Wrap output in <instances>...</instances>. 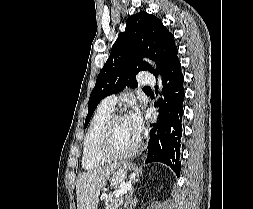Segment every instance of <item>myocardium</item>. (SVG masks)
<instances>
[{
    "mask_svg": "<svg viewBox=\"0 0 253 209\" xmlns=\"http://www.w3.org/2000/svg\"><path fill=\"white\" fill-rule=\"evenodd\" d=\"M122 118H125V115L123 113H113L112 115L109 116V118L106 120V122L104 123V125L100 130L96 145V153L100 158L104 160L110 161L125 160L136 154L140 148L141 140L140 137L138 136L134 147L129 151L117 154L110 150V137L112 127L118 120Z\"/></svg>",
    "mask_w": 253,
    "mask_h": 209,
    "instance_id": "myocardium-1",
    "label": "myocardium"
}]
</instances>
